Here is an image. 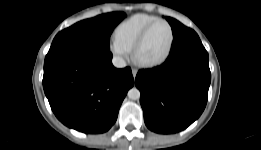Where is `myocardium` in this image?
<instances>
[{
    "mask_svg": "<svg viewBox=\"0 0 261 150\" xmlns=\"http://www.w3.org/2000/svg\"><path fill=\"white\" fill-rule=\"evenodd\" d=\"M159 23H164L168 26L169 31H170V39H169V44H168V48L165 52V54L163 56H161L158 59L155 60H142L139 57V51L143 45V43L145 42L149 32L151 31V29L159 24ZM174 39H175V35H174V29L172 27V25L165 19H157L153 22H151L149 25H147L144 30L141 32V34L139 35V37L137 38L133 48H132V55H133V59L134 61L142 67H147V68H151V67H156L159 66L161 64H163L170 56L171 51L173 49V44H174Z\"/></svg>",
    "mask_w": 261,
    "mask_h": 150,
    "instance_id": "f54148a6",
    "label": "myocardium"
}]
</instances>
